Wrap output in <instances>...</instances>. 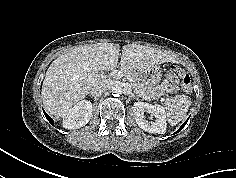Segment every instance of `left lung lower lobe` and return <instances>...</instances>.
<instances>
[{"instance_id":"obj_1","label":"left lung lower lobe","mask_w":236,"mask_h":178,"mask_svg":"<svg viewBox=\"0 0 236 178\" xmlns=\"http://www.w3.org/2000/svg\"><path fill=\"white\" fill-rule=\"evenodd\" d=\"M187 121H188V120H187ZM187 121L184 122L183 125H182L175 133H178V132L186 125Z\"/></svg>"}]
</instances>
